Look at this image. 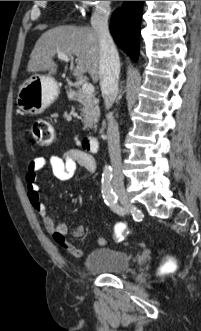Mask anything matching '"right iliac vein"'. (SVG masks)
<instances>
[{"instance_id":"63e3f726","label":"right iliac vein","mask_w":201,"mask_h":331,"mask_svg":"<svg viewBox=\"0 0 201 331\" xmlns=\"http://www.w3.org/2000/svg\"><path fill=\"white\" fill-rule=\"evenodd\" d=\"M113 187L122 205L126 208H130L131 204L129 202L123 181L120 179H115L113 181Z\"/></svg>"}]
</instances>
